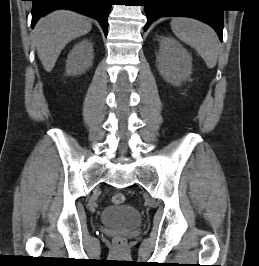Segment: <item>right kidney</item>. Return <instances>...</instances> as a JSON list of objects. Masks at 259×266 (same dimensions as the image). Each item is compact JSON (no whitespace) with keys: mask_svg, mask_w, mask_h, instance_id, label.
<instances>
[{"mask_svg":"<svg viewBox=\"0 0 259 266\" xmlns=\"http://www.w3.org/2000/svg\"><path fill=\"white\" fill-rule=\"evenodd\" d=\"M93 62V44L85 39L77 43L68 54L66 73L77 75L85 72Z\"/></svg>","mask_w":259,"mask_h":266,"instance_id":"ca27d5eb","label":"right kidney"}]
</instances>
